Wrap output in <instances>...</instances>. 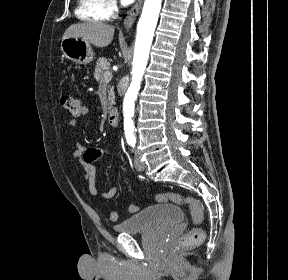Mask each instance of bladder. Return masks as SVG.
I'll use <instances>...</instances> for the list:
<instances>
[{"instance_id":"obj_1","label":"bladder","mask_w":288,"mask_h":280,"mask_svg":"<svg viewBox=\"0 0 288 280\" xmlns=\"http://www.w3.org/2000/svg\"><path fill=\"white\" fill-rule=\"evenodd\" d=\"M184 219L182 209L173 204L148 206L114 226L122 234L160 231L173 227Z\"/></svg>"}]
</instances>
